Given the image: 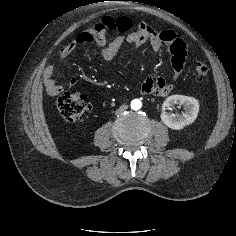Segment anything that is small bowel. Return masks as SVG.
I'll return each mask as SVG.
<instances>
[{
	"instance_id": "c3829d8e",
	"label": "small bowel",
	"mask_w": 236,
	"mask_h": 236,
	"mask_svg": "<svg viewBox=\"0 0 236 236\" xmlns=\"http://www.w3.org/2000/svg\"><path fill=\"white\" fill-rule=\"evenodd\" d=\"M116 20L106 17L93 28L82 30L72 41L61 48L57 60L63 61L82 45L95 44L100 48L102 58L111 61L125 43L140 47L148 42L154 51H160L164 45L167 46L173 70L172 80L176 81L180 78L188 56V46L182 38L172 30L157 31L145 22L139 23L137 28L132 30L133 24L130 21L128 28L121 30L120 26L115 23ZM109 31L123 33L107 42ZM54 74V65H47L42 73L45 90L53 97L63 92V87L55 82ZM75 83L76 80L73 78L69 85L73 86ZM140 91L145 95L166 96L172 91V85L162 76L147 77L142 82Z\"/></svg>"
}]
</instances>
